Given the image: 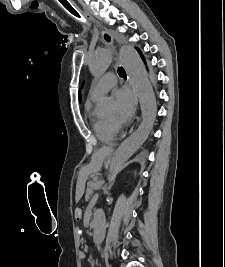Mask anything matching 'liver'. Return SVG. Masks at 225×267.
<instances>
[{
    "label": "liver",
    "instance_id": "obj_1",
    "mask_svg": "<svg viewBox=\"0 0 225 267\" xmlns=\"http://www.w3.org/2000/svg\"><path fill=\"white\" fill-rule=\"evenodd\" d=\"M106 157V153L103 150H99L92 156L91 163L88 165L87 170L88 172H97L101 169L103 161ZM83 194V187L77 193L76 199L79 200Z\"/></svg>",
    "mask_w": 225,
    "mask_h": 267
}]
</instances>
